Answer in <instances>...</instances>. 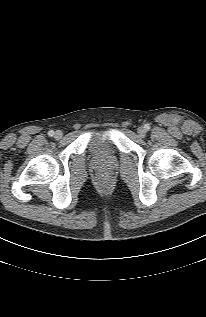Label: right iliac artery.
<instances>
[{
  "instance_id": "82829eb1",
  "label": "right iliac artery",
  "mask_w": 206,
  "mask_h": 317,
  "mask_svg": "<svg viewBox=\"0 0 206 317\" xmlns=\"http://www.w3.org/2000/svg\"><path fill=\"white\" fill-rule=\"evenodd\" d=\"M48 135H49L50 137L54 136V131H53V130H50V131L48 132Z\"/></svg>"
}]
</instances>
